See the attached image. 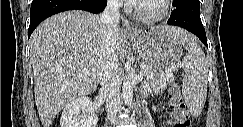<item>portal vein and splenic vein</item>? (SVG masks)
Returning a JSON list of instances; mask_svg holds the SVG:
<instances>
[{
  "label": "portal vein and splenic vein",
  "instance_id": "18ae733b",
  "mask_svg": "<svg viewBox=\"0 0 243 127\" xmlns=\"http://www.w3.org/2000/svg\"><path fill=\"white\" fill-rule=\"evenodd\" d=\"M173 69H174V68H173ZM146 72H147L146 69H144V68L142 67V70H141L140 73H141L142 75H145ZM168 72H169V71H167V73H168ZM83 73H85V70L83 71Z\"/></svg>",
  "mask_w": 243,
  "mask_h": 127
}]
</instances>
